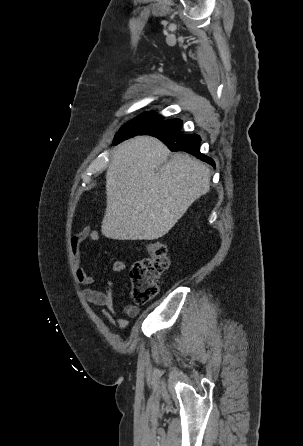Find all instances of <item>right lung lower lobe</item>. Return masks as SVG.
<instances>
[{
	"label": "right lung lower lobe",
	"mask_w": 303,
	"mask_h": 446,
	"mask_svg": "<svg viewBox=\"0 0 303 446\" xmlns=\"http://www.w3.org/2000/svg\"><path fill=\"white\" fill-rule=\"evenodd\" d=\"M182 121L180 119L160 120L139 135L155 136L163 141L171 151H185L215 167L212 158L200 153L199 135H185L181 132Z\"/></svg>",
	"instance_id": "right-lung-lower-lobe-1"
}]
</instances>
